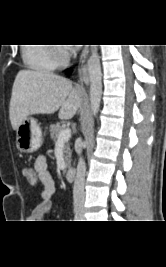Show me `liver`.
<instances>
[{
	"instance_id": "liver-1",
	"label": "liver",
	"mask_w": 166,
	"mask_h": 267,
	"mask_svg": "<svg viewBox=\"0 0 166 267\" xmlns=\"http://www.w3.org/2000/svg\"><path fill=\"white\" fill-rule=\"evenodd\" d=\"M80 107L81 94L70 80L54 73L21 70L13 84L9 117L17 130L30 115L59 110L60 119H70Z\"/></svg>"
}]
</instances>
